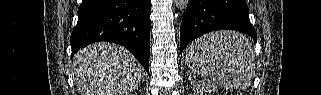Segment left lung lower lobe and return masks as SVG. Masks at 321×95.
<instances>
[{"label":"left lung lower lobe","instance_id":"obj_1","mask_svg":"<svg viewBox=\"0 0 321 95\" xmlns=\"http://www.w3.org/2000/svg\"><path fill=\"white\" fill-rule=\"evenodd\" d=\"M220 29L244 32L257 40L245 0H189L181 23L180 53L194 39Z\"/></svg>","mask_w":321,"mask_h":95}]
</instances>
